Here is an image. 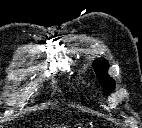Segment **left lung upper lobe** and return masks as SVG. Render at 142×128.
I'll list each match as a JSON object with an SVG mask.
<instances>
[{"mask_svg": "<svg viewBox=\"0 0 142 128\" xmlns=\"http://www.w3.org/2000/svg\"><path fill=\"white\" fill-rule=\"evenodd\" d=\"M99 82L103 85L104 93H110L114 90L115 83L107 74L108 62L105 60L96 61L93 64Z\"/></svg>", "mask_w": 142, "mask_h": 128, "instance_id": "obj_1", "label": "left lung upper lobe"}]
</instances>
